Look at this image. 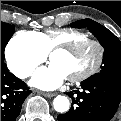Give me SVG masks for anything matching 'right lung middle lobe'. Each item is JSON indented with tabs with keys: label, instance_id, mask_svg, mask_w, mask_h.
<instances>
[{
	"label": "right lung middle lobe",
	"instance_id": "obj_1",
	"mask_svg": "<svg viewBox=\"0 0 121 121\" xmlns=\"http://www.w3.org/2000/svg\"><path fill=\"white\" fill-rule=\"evenodd\" d=\"M13 29L12 25L1 22V61H4V49L13 34Z\"/></svg>",
	"mask_w": 121,
	"mask_h": 121
}]
</instances>
